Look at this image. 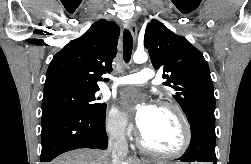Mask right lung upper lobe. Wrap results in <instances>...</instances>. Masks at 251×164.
I'll list each match as a JSON object with an SVG mask.
<instances>
[{
  "instance_id": "obj_1",
  "label": "right lung upper lobe",
  "mask_w": 251,
  "mask_h": 164,
  "mask_svg": "<svg viewBox=\"0 0 251 164\" xmlns=\"http://www.w3.org/2000/svg\"><path fill=\"white\" fill-rule=\"evenodd\" d=\"M119 33L118 25L113 22L101 19L93 23L53 57L44 91L59 87L99 90L97 82L103 80L101 75L112 71Z\"/></svg>"
}]
</instances>
